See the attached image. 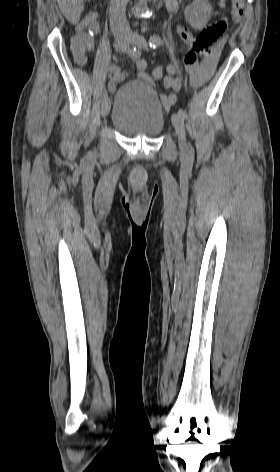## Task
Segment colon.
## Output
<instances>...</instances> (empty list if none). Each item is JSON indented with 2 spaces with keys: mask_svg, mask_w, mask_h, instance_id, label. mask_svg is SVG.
Returning <instances> with one entry per match:
<instances>
[{
  "mask_svg": "<svg viewBox=\"0 0 280 472\" xmlns=\"http://www.w3.org/2000/svg\"><path fill=\"white\" fill-rule=\"evenodd\" d=\"M245 0H232L231 2V19L234 23L241 21L244 12ZM91 29H95L93 24L88 25ZM228 27L227 19H221L205 28L191 44L185 55L186 65H196L199 58L210 57L217 49L222 48L225 41L223 35ZM163 77V69L156 67L150 74V81H157Z\"/></svg>",
  "mask_w": 280,
  "mask_h": 472,
  "instance_id": "colon-1",
  "label": "colon"
}]
</instances>
